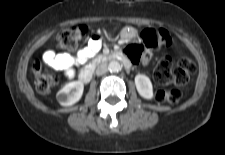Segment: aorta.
<instances>
[{
  "label": "aorta",
  "mask_w": 225,
  "mask_h": 155,
  "mask_svg": "<svg viewBox=\"0 0 225 155\" xmlns=\"http://www.w3.org/2000/svg\"><path fill=\"white\" fill-rule=\"evenodd\" d=\"M108 70L110 72H119L121 70V65L118 61H111L109 64H108Z\"/></svg>",
  "instance_id": "obj_1"
}]
</instances>
